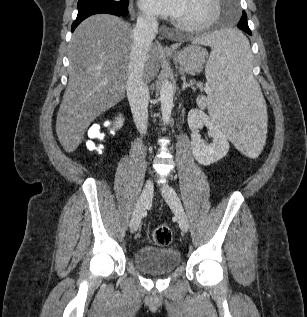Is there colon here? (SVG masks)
I'll use <instances>...</instances> for the list:
<instances>
[{"label": "colon", "mask_w": 307, "mask_h": 317, "mask_svg": "<svg viewBox=\"0 0 307 317\" xmlns=\"http://www.w3.org/2000/svg\"><path fill=\"white\" fill-rule=\"evenodd\" d=\"M104 127H110V122L104 123V126L96 124L89 130L87 147L90 151L101 153L104 149L101 141L105 137ZM153 240L156 245L166 247L173 241V232L166 224L158 225L153 231Z\"/></svg>", "instance_id": "obj_1"}]
</instances>
